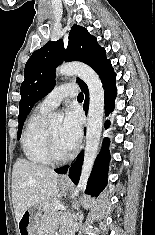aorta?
I'll use <instances>...</instances> for the list:
<instances>
[{
  "label": "aorta",
  "mask_w": 155,
  "mask_h": 235,
  "mask_svg": "<svg viewBox=\"0 0 155 235\" xmlns=\"http://www.w3.org/2000/svg\"><path fill=\"white\" fill-rule=\"evenodd\" d=\"M57 73L63 76L77 75L87 84L89 89L86 146L82 172L78 183L79 190L84 191L101 138L104 115V90L98 74L86 64L79 62L66 63L57 69ZM49 119L51 122H58L62 120V116L58 113H52L49 115Z\"/></svg>",
  "instance_id": "1"
}]
</instances>
